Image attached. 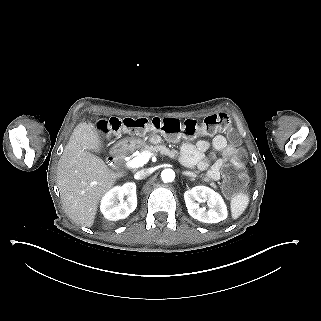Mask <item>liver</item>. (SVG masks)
Here are the masks:
<instances>
[{
  "label": "liver",
  "instance_id": "1",
  "mask_svg": "<svg viewBox=\"0 0 321 321\" xmlns=\"http://www.w3.org/2000/svg\"><path fill=\"white\" fill-rule=\"evenodd\" d=\"M103 139L95 125L77 124L57 168V186L66 214L77 224L91 228L102 197L122 176L94 153L103 152Z\"/></svg>",
  "mask_w": 321,
  "mask_h": 321
}]
</instances>
